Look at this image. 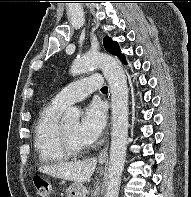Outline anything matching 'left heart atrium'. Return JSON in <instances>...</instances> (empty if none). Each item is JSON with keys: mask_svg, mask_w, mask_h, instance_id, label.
Segmentation results:
<instances>
[{"mask_svg": "<svg viewBox=\"0 0 191 197\" xmlns=\"http://www.w3.org/2000/svg\"><path fill=\"white\" fill-rule=\"evenodd\" d=\"M106 122L105 110L101 103L92 102L84 109L78 127L77 137L84 145L96 141L101 135Z\"/></svg>", "mask_w": 191, "mask_h": 197, "instance_id": "39dd6f15", "label": "left heart atrium"}]
</instances>
